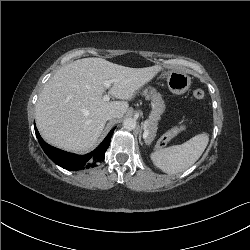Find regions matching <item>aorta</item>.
Segmentation results:
<instances>
[{"label":"aorta","instance_id":"1","mask_svg":"<svg viewBox=\"0 0 250 250\" xmlns=\"http://www.w3.org/2000/svg\"><path fill=\"white\" fill-rule=\"evenodd\" d=\"M123 127L126 130H133V129H135V127H136V120L133 119V118H127V119H125L124 122H123Z\"/></svg>","mask_w":250,"mask_h":250}]
</instances>
